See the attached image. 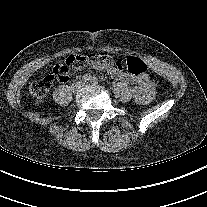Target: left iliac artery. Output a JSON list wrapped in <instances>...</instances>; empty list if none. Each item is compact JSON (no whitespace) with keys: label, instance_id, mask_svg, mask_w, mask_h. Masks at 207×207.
Here are the masks:
<instances>
[{"label":"left iliac artery","instance_id":"left-iliac-artery-1","mask_svg":"<svg viewBox=\"0 0 207 207\" xmlns=\"http://www.w3.org/2000/svg\"><path fill=\"white\" fill-rule=\"evenodd\" d=\"M91 82H92L93 84H98L99 80H98L97 77H92Z\"/></svg>","mask_w":207,"mask_h":207}]
</instances>
